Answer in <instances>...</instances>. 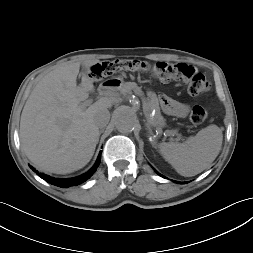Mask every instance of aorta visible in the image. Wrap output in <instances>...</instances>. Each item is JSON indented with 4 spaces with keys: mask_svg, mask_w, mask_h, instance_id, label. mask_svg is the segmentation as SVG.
Here are the masks:
<instances>
[{
    "mask_svg": "<svg viewBox=\"0 0 253 253\" xmlns=\"http://www.w3.org/2000/svg\"><path fill=\"white\" fill-rule=\"evenodd\" d=\"M137 121L136 113L129 107H122L115 112L116 127L120 131H130Z\"/></svg>",
    "mask_w": 253,
    "mask_h": 253,
    "instance_id": "obj_1",
    "label": "aorta"
}]
</instances>
